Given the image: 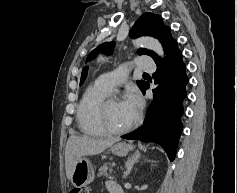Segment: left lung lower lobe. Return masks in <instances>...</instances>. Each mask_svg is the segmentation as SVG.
<instances>
[{"instance_id": "1", "label": "left lung lower lobe", "mask_w": 237, "mask_h": 193, "mask_svg": "<svg viewBox=\"0 0 237 193\" xmlns=\"http://www.w3.org/2000/svg\"><path fill=\"white\" fill-rule=\"evenodd\" d=\"M165 55L163 61L156 62L157 71L153 75L155 83L161 82V87L153 89L155 96L162 93L160 102L155 99L143 125L122 138L157 143L164 148L170 161H173L183 127L180 117L183 113L182 102L187 94L185 86L188 78L176 41L169 46ZM148 87L149 84L146 83L142 89L144 94Z\"/></svg>"}]
</instances>
